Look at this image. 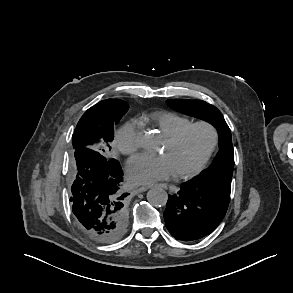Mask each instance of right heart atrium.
<instances>
[{
    "mask_svg": "<svg viewBox=\"0 0 293 293\" xmlns=\"http://www.w3.org/2000/svg\"><path fill=\"white\" fill-rule=\"evenodd\" d=\"M138 130V123L131 120L124 123L115 133L114 144L121 154L129 156L138 150Z\"/></svg>",
    "mask_w": 293,
    "mask_h": 293,
    "instance_id": "d8ad5b80",
    "label": "right heart atrium"
}]
</instances>
